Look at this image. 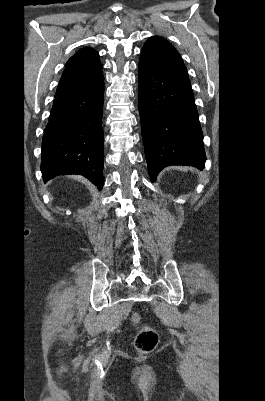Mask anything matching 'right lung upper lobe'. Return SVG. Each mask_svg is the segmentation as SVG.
Instances as JSON below:
<instances>
[{
  "label": "right lung upper lobe",
  "mask_w": 265,
  "mask_h": 401,
  "mask_svg": "<svg viewBox=\"0 0 265 401\" xmlns=\"http://www.w3.org/2000/svg\"><path fill=\"white\" fill-rule=\"evenodd\" d=\"M103 80L98 52L90 47L82 48L67 61L55 97L93 89Z\"/></svg>",
  "instance_id": "1"
}]
</instances>
